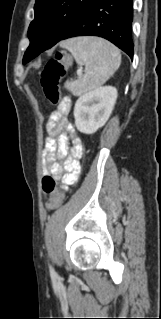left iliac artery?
<instances>
[{"instance_id":"1","label":"left iliac artery","mask_w":161,"mask_h":319,"mask_svg":"<svg viewBox=\"0 0 161 319\" xmlns=\"http://www.w3.org/2000/svg\"><path fill=\"white\" fill-rule=\"evenodd\" d=\"M49 268H50V273H51V275H57L56 274V272H55V270L52 268V266H49Z\"/></svg>"}]
</instances>
